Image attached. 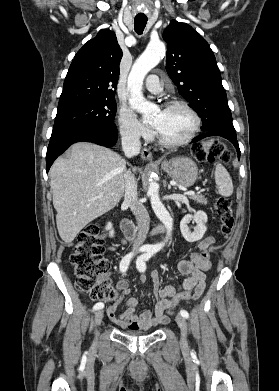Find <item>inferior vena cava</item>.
Masks as SVG:
<instances>
[{"instance_id":"602c4592","label":"inferior vena cava","mask_w":279,"mask_h":391,"mask_svg":"<svg viewBox=\"0 0 279 391\" xmlns=\"http://www.w3.org/2000/svg\"><path fill=\"white\" fill-rule=\"evenodd\" d=\"M122 148L126 157L136 156L140 152V135L134 131H123ZM125 195L124 203L130 206L137 221V236L133 244V250L140 247L145 241L149 231V214L145 206L139 201L137 193V181L130 170L124 173Z\"/></svg>"}]
</instances>
